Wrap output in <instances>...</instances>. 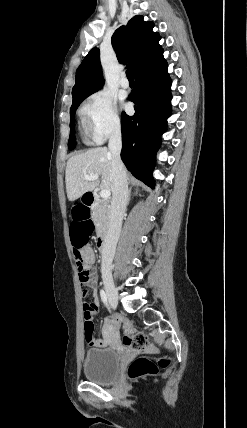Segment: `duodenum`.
Masks as SVG:
<instances>
[{"label":"duodenum","instance_id":"obj_1","mask_svg":"<svg viewBox=\"0 0 247 428\" xmlns=\"http://www.w3.org/2000/svg\"><path fill=\"white\" fill-rule=\"evenodd\" d=\"M95 202H96L95 195L93 193H87L85 196V204H89L90 207H92L95 204ZM108 241H109V238L107 234H102L99 237L97 242V247L101 253L105 252L108 245Z\"/></svg>","mask_w":247,"mask_h":428}]
</instances>
